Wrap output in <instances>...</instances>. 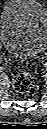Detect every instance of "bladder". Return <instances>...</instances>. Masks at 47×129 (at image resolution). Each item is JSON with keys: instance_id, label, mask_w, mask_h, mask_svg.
Masks as SVG:
<instances>
[{"instance_id": "obj_1", "label": "bladder", "mask_w": 47, "mask_h": 129, "mask_svg": "<svg viewBox=\"0 0 47 129\" xmlns=\"http://www.w3.org/2000/svg\"><path fill=\"white\" fill-rule=\"evenodd\" d=\"M0 38L7 52L20 58L40 55L46 48L47 11L37 0H9L1 11Z\"/></svg>"}]
</instances>
